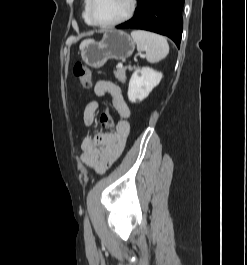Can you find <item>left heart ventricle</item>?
I'll use <instances>...</instances> for the list:
<instances>
[{
  "instance_id": "obj_1",
  "label": "left heart ventricle",
  "mask_w": 247,
  "mask_h": 265,
  "mask_svg": "<svg viewBox=\"0 0 247 265\" xmlns=\"http://www.w3.org/2000/svg\"><path fill=\"white\" fill-rule=\"evenodd\" d=\"M130 0H95L93 5V16L100 23H109L124 16L128 9Z\"/></svg>"
}]
</instances>
